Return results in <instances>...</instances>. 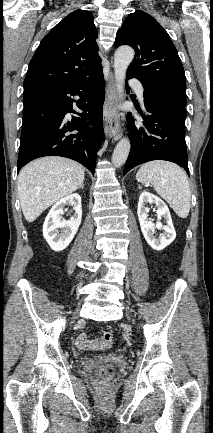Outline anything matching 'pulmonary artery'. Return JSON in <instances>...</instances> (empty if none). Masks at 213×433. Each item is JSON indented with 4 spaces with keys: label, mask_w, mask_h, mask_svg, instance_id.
<instances>
[{
    "label": "pulmonary artery",
    "mask_w": 213,
    "mask_h": 433,
    "mask_svg": "<svg viewBox=\"0 0 213 433\" xmlns=\"http://www.w3.org/2000/svg\"><path fill=\"white\" fill-rule=\"evenodd\" d=\"M130 85L136 90V93L140 100L144 99V88L143 85L136 79H131L129 81Z\"/></svg>",
    "instance_id": "pulmonary-artery-1"
}]
</instances>
